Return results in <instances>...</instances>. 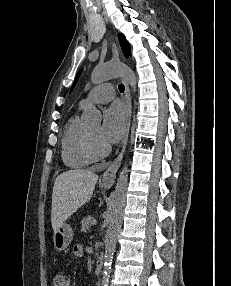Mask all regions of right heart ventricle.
<instances>
[{"label":"right heart ventricle","instance_id":"e07e8e85","mask_svg":"<svg viewBox=\"0 0 231 286\" xmlns=\"http://www.w3.org/2000/svg\"><path fill=\"white\" fill-rule=\"evenodd\" d=\"M85 127L79 114L73 115L65 125L61 137V158L65 166L80 169L93 161L84 151L83 135Z\"/></svg>","mask_w":231,"mask_h":286}]
</instances>
